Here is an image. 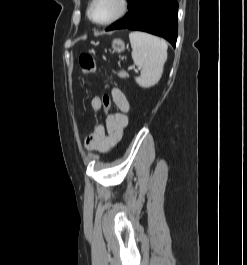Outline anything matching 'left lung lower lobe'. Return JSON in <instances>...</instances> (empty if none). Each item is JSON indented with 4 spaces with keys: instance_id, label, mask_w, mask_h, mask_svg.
I'll use <instances>...</instances> for the list:
<instances>
[{
    "instance_id": "obj_1",
    "label": "left lung lower lobe",
    "mask_w": 247,
    "mask_h": 265,
    "mask_svg": "<svg viewBox=\"0 0 247 265\" xmlns=\"http://www.w3.org/2000/svg\"><path fill=\"white\" fill-rule=\"evenodd\" d=\"M129 11L106 31L132 29L145 31L168 40L176 46L178 3L176 0H128Z\"/></svg>"
}]
</instances>
